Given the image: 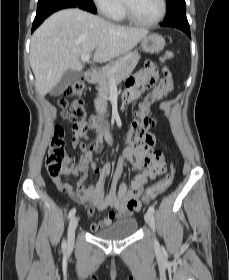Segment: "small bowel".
<instances>
[{
	"label": "small bowel",
	"instance_id": "c3829d8e",
	"mask_svg": "<svg viewBox=\"0 0 229 280\" xmlns=\"http://www.w3.org/2000/svg\"><path fill=\"white\" fill-rule=\"evenodd\" d=\"M158 77L159 72L157 67L155 65H146L135 75L127 79L126 87L123 92V100L127 103L135 101L142 90L150 88L157 83ZM167 93L168 92H165L161 88V85L157 86L149 95L152 97L151 101L145 99L141 102L139 111L146 115L149 114L150 105L155 101L163 99ZM95 134L98 143L113 142L112 135L104 128L96 129ZM155 142V135L148 132L146 138L140 144L127 147L113 173L112 188L108 194L104 191V185L111 174L110 163L98 164L93 158L92 151H86L76 166L69 170V174L73 176L82 174L81 179L77 182L79 190L67 192L69 198L83 206L88 214H92L95 209H112L103 220L92 224L91 229L93 231L105 229L110 226L115 219L130 217L136 211H139L140 208L132 207L130 201L138 199L144 185L149 180L156 178V174L148 169H142L144 160L150 153ZM126 163H130L133 168L138 171L130 185L118 183ZM90 169L99 175V181L96 185H89L86 188H82V182L86 179L87 172Z\"/></svg>",
	"mask_w": 229,
	"mask_h": 280
}]
</instances>
